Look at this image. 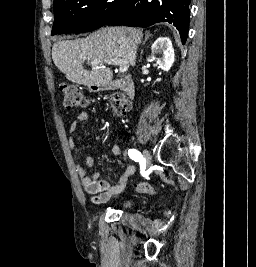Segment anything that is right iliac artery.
Returning a JSON list of instances; mask_svg holds the SVG:
<instances>
[{
    "instance_id": "82829eb1",
    "label": "right iliac artery",
    "mask_w": 256,
    "mask_h": 267,
    "mask_svg": "<svg viewBox=\"0 0 256 267\" xmlns=\"http://www.w3.org/2000/svg\"><path fill=\"white\" fill-rule=\"evenodd\" d=\"M128 155L132 160H134L136 162H138L140 159L143 158L142 154L139 151L135 150V149H129L128 150Z\"/></svg>"
}]
</instances>
